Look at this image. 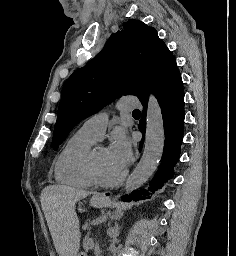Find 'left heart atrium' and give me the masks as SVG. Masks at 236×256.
<instances>
[{"mask_svg":"<svg viewBox=\"0 0 236 256\" xmlns=\"http://www.w3.org/2000/svg\"><path fill=\"white\" fill-rule=\"evenodd\" d=\"M107 151L111 165L123 170L130 160L132 146L129 137L122 129L118 128L113 132Z\"/></svg>","mask_w":236,"mask_h":256,"instance_id":"obj_1","label":"left heart atrium"}]
</instances>
